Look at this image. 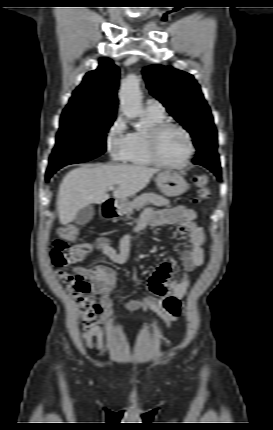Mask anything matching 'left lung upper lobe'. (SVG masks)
I'll return each instance as SVG.
<instances>
[{
    "label": "left lung upper lobe",
    "mask_w": 273,
    "mask_h": 430,
    "mask_svg": "<svg viewBox=\"0 0 273 430\" xmlns=\"http://www.w3.org/2000/svg\"><path fill=\"white\" fill-rule=\"evenodd\" d=\"M147 87L192 135L198 156L217 151V131L210 109L193 75L161 65L143 69Z\"/></svg>",
    "instance_id": "obj_1"
}]
</instances>
